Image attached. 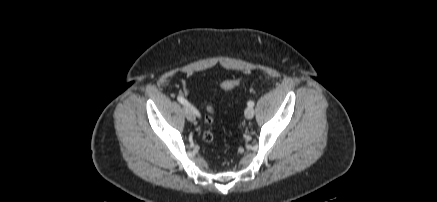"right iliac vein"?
Listing matches in <instances>:
<instances>
[{
    "label": "right iliac vein",
    "instance_id": "right-iliac-vein-1",
    "mask_svg": "<svg viewBox=\"0 0 437 202\" xmlns=\"http://www.w3.org/2000/svg\"><path fill=\"white\" fill-rule=\"evenodd\" d=\"M184 114L188 121L195 122L196 117H195L194 110L192 109L191 106L184 107Z\"/></svg>",
    "mask_w": 437,
    "mask_h": 202
}]
</instances>
